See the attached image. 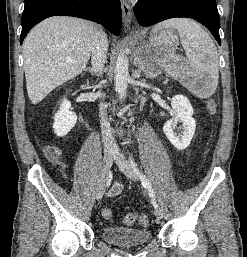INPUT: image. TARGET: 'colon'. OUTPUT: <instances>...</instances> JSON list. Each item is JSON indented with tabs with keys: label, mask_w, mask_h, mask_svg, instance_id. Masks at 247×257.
<instances>
[{
	"label": "colon",
	"mask_w": 247,
	"mask_h": 257,
	"mask_svg": "<svg viewBox=\"0 0 247 257\" xmlns=\"http://www.w3.org/2000/svg\"><path fill=\"white\" fill-rule=\"evenodd\" d=\"M208 108H209V111L210 113L214 114L215 111H216V102L214 99H210L208 101ZM45 155L49 158V159H52V158H55L57 155H58V152L56 150L55 147L53 146H47L45 148ZM102 217L104 220L106 221H111L113 219V213L110 209L108 208H105L103 211H102ZM138 219L139 221V224L143 227H148L149 226V218L146 214H141L140 216H137L131 212H127L126 215L124 216V222L127 224V225H132L136 222V220Z\"/></svg>",
	"instance_id": "obj_1"
}]
</instances>
